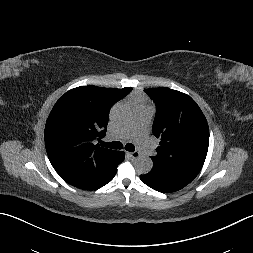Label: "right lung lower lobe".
Masks as SVG:
<instances>
[{
  "label": "right lung lower lobe",
  "mask_w": 253,
  "mask_h": 253,
  "mask_svg": "<svg viewBox=\"0 0 253 253\" xmlns=\"http://www.w3.org/2000/svg\"><path fill=\"white\" fill-rule=\"evenodd\" d=\"M125 153L115 151L111 159L105 163L101 172L91 181L87 183H73L65 180L67 183L84 190L98 189L110 182L117 172V166L124 160Z\"/></svg>",
  "instance_id": "1"
}]
</instances>
